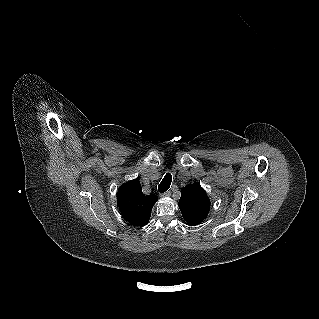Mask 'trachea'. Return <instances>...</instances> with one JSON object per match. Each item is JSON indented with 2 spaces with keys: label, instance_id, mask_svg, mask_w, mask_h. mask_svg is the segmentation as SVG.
<instances>
[{
  "label": "trachea",
  "instance_id": "obj_1",
  "mask_svg": "<svg viewBox=\"0 0 319 319\" xmlns=\"http://www.w3.org/2000/svg\"><path fill=\"white\" fill-rule=\"evenodd\" d=\"M171 182H172V176H171L170 173H167L164 176V178L161 181V183L158 185V191L160 193L166 192L170 188Z\"/></svg>",
  "mask_w": 319,
  "mask_h": 319
}]
</instances>
